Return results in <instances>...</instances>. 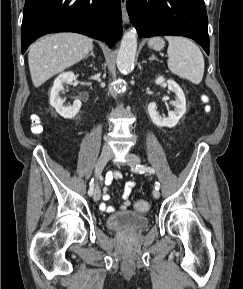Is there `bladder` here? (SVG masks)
Masks as SVG:
<instances>
[{
	"label": "bladder",
	"instance_id": "bladder-1",
	"mask_svg": "<svg viewBox=\"0 0 243 289\" xmlns=\"http://www.w3.org/2000/svg\"><path fill=\"white\" fill-rule=\"evenodd\" d=\"M148 225V217L133 211L116 212L106 219V226L114 231L134 232L145 229Z\"/></svg>",
	"mask_w": 243,
	"mask_h": 289
}]
</instances>
